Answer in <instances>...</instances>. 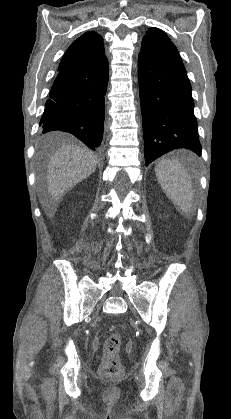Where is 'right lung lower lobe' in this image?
Segmentation results:
<instances>
[{"instance_id":"98d812e1","label":"right lung lower lobe","mask_w":231,"mask_h":419,"mask_svg":"<svg viewBox=\"0 0 231 419\" xmlns=\"http://www.w3.org/2000/svg\"><path fill=\"white\" fill-rule=\"evenodd\" d=\"M107 84V59L93 65L59 69L40 120V134L54 130L69 132L100 152Z\"/></svg>"}]
</instances>
